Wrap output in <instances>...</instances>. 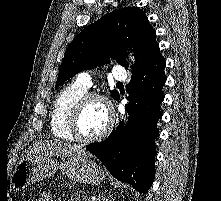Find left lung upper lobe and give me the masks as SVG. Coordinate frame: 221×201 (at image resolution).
Segmentation results:
<instances>
[{"mask_svg":"<svg viewBox=\"0 0 221 201\" xmlns=\"http://www.w3.org/2000/svg\"><path fill=\"white\" fill-rule=\"evenodd\" d=\"M156 32L138 7H127L104 15L83 29L68 46L59 70L56 89L65 80L85 69L109 62V57L128 69L127 51H133L136 62L132 76L140 73L160 56ZM114 99L117 91H111Z\"/></svg>","mask_w":221,"mask_h":201,"instance_id":"5c2ea615","label":"left lung upper lobe"}]
</instances>
